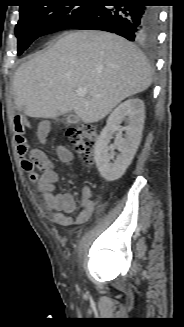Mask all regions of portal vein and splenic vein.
I'll use <instances>...</instances> for the list:
<instances>
[{
	"mask_svg": "<svg viewBox=\"0 0 184 327\" xmlns=\"http://www.w3.org/2000/svg\"><path fill=\"white\" fill-rule=\"evenodd\" d=\"M77 95L82 97L84 95H86L87 91L85 88H79L77 91H76Z\"/></svg>",
	"mask_w": 184,
	"mask_h": 327,
	"instance_id": "obj_1",
	"label": "portal vein and splenic vein"
}]
</instances>
